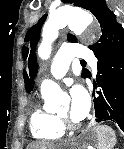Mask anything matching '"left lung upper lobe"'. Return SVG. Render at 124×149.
Here are the masks:
<instances>
[{
  "label": "left lung upper lobe",
  "mask_w": 124,
  "mask_h": 149,
  "mask_svg": "<svg viewBox=\"0 0 124 149\" xmlns=\"http://www.w3.org/2000/svg\"><path fill=\"white\" fill-rule=\"evenodd\" d=\"M64 3H74L75 6L84 8L89 10L94 14L96 19L98 20L101 28V37L99 40L90 45L89 48L94 52V55L97 59L107 54L116 52L124 48V29L121 24L116 21L115 14L107 7L106 2L104 0H63ZM47 15H43L42 18L32 26L25 36V42H30L31 51L27 47H23V57L29 60V75L24 71V81L25 88L29 93L33 86L35 78L37 74V63H36V55H35V46L39 40L40 31L43 23L46 20ZM67 39L69 42H77L75 36L68 34ZM91 74L88 70L82 71L83 78H90Z\"/></svg>",
  "instance_id": "left-lung-upper-lobe-1"
}]
</instances>
